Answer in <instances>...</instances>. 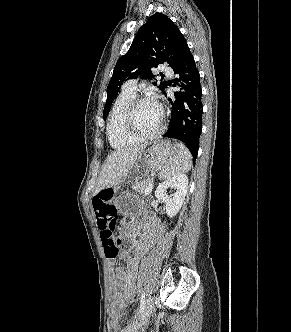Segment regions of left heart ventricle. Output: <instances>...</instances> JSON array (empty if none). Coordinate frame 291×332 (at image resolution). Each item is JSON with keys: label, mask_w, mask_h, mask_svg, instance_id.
Here are the masks:
<instances>
[{"label": "left heart ventricle", "mask_w": 291, "mask_h": 332, "mask_svg": "<svg viewBox=\"0 0 291 332\" xmlns=\"http://www.w3.org/2000/svg\"><path fill=\"white\" fill-rule=\"evenodd\" d=\"M136 128L141 133H152L161 124V112L154 101H146L139 105L135 115Z\"/></svg>", "instance_id": "obj_1"}]
</instances>
